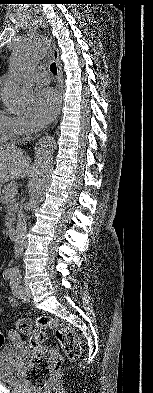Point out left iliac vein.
Instances as JSON below:
<instances>
[{
    "label": "left iliac vein",
    "instance_id": "obj_1",
    "mask_svg": "<svg viewBox=\"0 0 153 393\" xmlns=\"http://www.w3.org/2000/svg\"><path fill=\"white\" fill-rule=\"evenodd\" d=\"M29 296H30V293H29L28 287L25 285L20 286V292L18 294V297H20L21 299L26 301Z\"/></svg>",
    "mask_w": 153,
    "mask_h": 393
}]
</instances>
